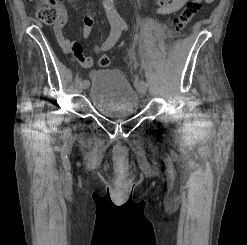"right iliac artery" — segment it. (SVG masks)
Segmentation results:
<instances>
[{
	"instance_id": "1",
	"label": "right iliac artery",
	"mask_w": 247,
	"mask_h": 245,
	"mask_svg": "<svg viewBox=\"0 0 247 245\" xmlns=\"http://www.w3.org/2000/svg\"><path fill=\"white\" fill-rule=\"evenodd\" d=\"M121 32H122V28L120 26H113L111 29V32L109 34V37L106 39V41L103 43L102 45V50H108L111 47L114 46V44L118 41V39L121 36ZM77 84L80 87H86L87 86V82L86 80H83L82 78L80 80L77 81Z\"/></svg>"
}]
</instances>
